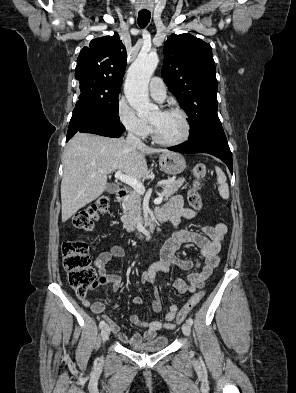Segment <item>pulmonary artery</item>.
Returning <instances> with one entry per match:
<instances>
[{"mask_svg":"<svg viewBox=\"0 0 296 393\" xmlns=\"http://www.w3.org/2000/svg\"><path fill=\"white\" fill-rule=\"evenodd\" d=\"M151 96L159 102L164 101L166 98L167 90L165 84L160 77H153L149 84Z\"/></svg>","mask_w":296,"mask_h":393,"instance_id":"e3ab8cb5","label":"pulmonary artery"}]
</instances>
